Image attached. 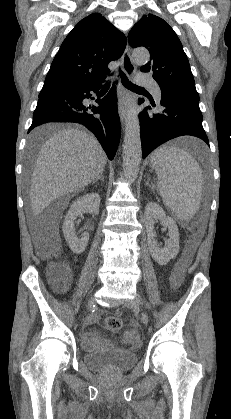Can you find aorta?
I'll return each instance as SVG.
<instances>
[{"mask_svg":"<svg viewBox=\"0 0 231 419\" xmlns=\"http://www.w3.org/2000/svg\"><path fill=\"white\" fill-rule=\"evenodd\" d=\"M132 57L137 63H147L150 54L146 49H135ZM142 159L140 123L135 99H130L125 118V135L123 143V174L133 182L139 173Z\"/></svg>","mask_w":231,"mask_h":419,"instance_id":"762f6f07","label":"aorta"}]
</instances>
